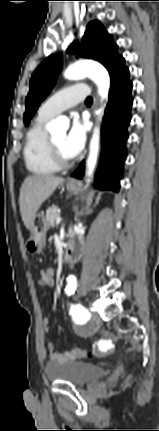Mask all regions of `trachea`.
Masks as SVG:
<instances>
[{
    "label": "trachea",
    "instance_id": "3493384b",
    "mask_svg": "<svg viewBox=\"0 0 159 431\" xmlns=\"http://www.w3.org/2000/svg\"><path fill=\"white\" fill-rule=\"evenodd\" d=\"M92 103V98L91 97H88L87 99H86V104H91Z\"/></svg>",
    "mask_w": 159,
    "mask_h": 431
}]
</instances>
